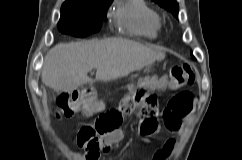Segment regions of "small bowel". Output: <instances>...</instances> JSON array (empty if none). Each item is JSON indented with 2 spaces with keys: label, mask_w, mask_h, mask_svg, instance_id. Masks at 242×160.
Masks as SVG:
<instances>
[{
  "label": "small bowel",
  "mask_w": 242,
  "mask_h": 160,
  "mask_svg": "<svg viewBox=\"0 0 242 160\" xmlns=\"http://www.w3.org/2000/svg\"><path fill=\"white\" fill-rule=\"evenodd\" d=\"M127 97L123 100L122 105L120 107V110L123 111L124 113H130L132 112L134 109L131 108L130 110L125 111L124 110V103L126 102ZM99 108L97 107L96 110L90 111V112H85L84 114L86 116H90L92 115L94 112L98 111ZM165 121V119H164ZM182 123V117L178 119L177 124L174 127H168V129L172 132H176L179 130L180 126ZM166 124V122H165ZM141 126H142V120H141V124H140V132H141ZM142 135H150V134H143L141 132ZM122 132L119 129H116L115 131L101 137L99 139V147L96 150H92L90 147L85 146L86 148V160H97L98 159V154L99 152H108L114 145L118 144L121 140H122ZM174 146V141L170 140L168 141L165 146L157 152L155 159L156 160H160L164 157H166L167 155H169L173 149Z\"/></svg>",
  "instance_id": "1"
}]
</instances>
